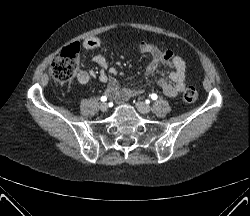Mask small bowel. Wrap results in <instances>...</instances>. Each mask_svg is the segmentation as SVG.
<instances>
[{"mask_svg": "<svg viewBox=\"0 0 250 216\" xmlns=\"http://www.w3.org/2000/svg\"><path fill=\"white\" fill-rule=\"evenodd\" d=\"M100 45V41L96 38H91L83 43V47L87 50H92ZM139 50L142 53L149 54L151 60L146 67L147 75H153L165 66L170 68L168 77L169 81L161 78L156 84L162 90V92L168 97H175L186 87L185 83V70L186 64L184 60L175 55L169 50H161L157 46L148 42H141L139 44ZM95 63H97L103 71L100 73V80L107 82V93L114 98L117 102L122 103L127 101L130 97L138 95L143 92L141 88H122L118 80L111 74L106 72L108 63L105 57L102 55H96L94 57ZM91 77L88 71L81 70L77 73L76 79L80 84H86Z\"/></svg>", "mask_w": 250, "mask_h": 216, "instance_id": "obj_1", "label": "small bowel"}]
</instances>
